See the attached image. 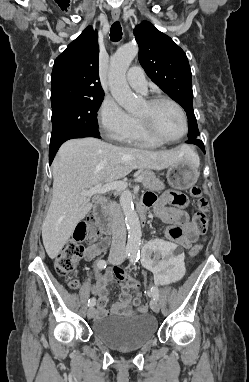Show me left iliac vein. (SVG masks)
Masks as SVG:
<instances>
[{"instance_id":"obj_1","label":"left iliac vein","mask_w":249,"mask_h":382,"mask_svg":"<svg viewBox=\"0 0 249 382\" xmlns=\"http://www.w3.org/2000/svg\"><path fill=\"white\" fill-rule=\"evenodd\" d=\"M116 264L119 265V264H120V261L117 262ZM150 307H151V309H152L154 312H156V313H158L159 310H160V306H159L158 302H157L156 300H154V299L151 300V302H150Z\"/></svg>"}]
</instances>
